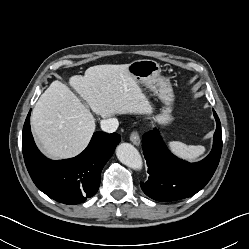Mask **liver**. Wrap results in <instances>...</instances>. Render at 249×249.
Wrapping results in <instances>:
<instances>
[{
    "label": "liver",
    "mask_w": 249,
    "mask_h": 249,
    "mask_svg": "<svg viewBox=\"0 0 249 249\" xmlns=\"http://www.w3.org/2000/svg\"><path fill=\"white\" fill-rule=\"evenodd\" d=\"M69 84L103 118L152 112L148 98L128 73L126 64L90 67L84 76H72ZM31 126L46 155L55 159L71 158L88 145L95 131V119L90 109L56 80L35 104Z\"/></svg>",
    "instance_id": "1"
}]
</instances>
